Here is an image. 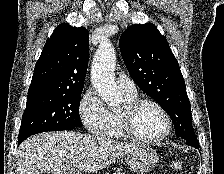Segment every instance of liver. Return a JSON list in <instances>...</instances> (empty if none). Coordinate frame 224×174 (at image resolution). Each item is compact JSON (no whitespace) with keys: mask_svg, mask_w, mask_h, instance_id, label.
<instances>
[{"mask_svg":"<svg viewBox=\"0 0 224 174\" xmlns=\"http://www.w3.org/2000/svg\"><path fill=\"white\" fill-rule=\"evenodd\" d=\"M139 146L73 131L40 133L19 146L16 171L17 174L95 173Z\"/></svg>","mask_w":224,"mask_h":174,"instance_id":"obj_1","label":"liver"}]
</instances>
